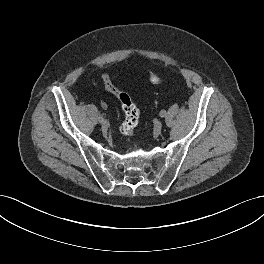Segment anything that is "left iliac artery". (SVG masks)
Listing matches in <instances>:
<instances>
[{"instance_id": "obj_1", "label": "left iliac artery", "mask_w": 264, "mask_h": 264, "mask_svg": "<svg viewBox=\"0 0 264 264\" xmlns=\"http://www.w3.org/2000/svg\"><path fill=\"white\" fill-rule=\"evenodd\" d=\"M159 115H160V117H165L166 111L165 110H161Z\"/></svg>"}]
</instances>
